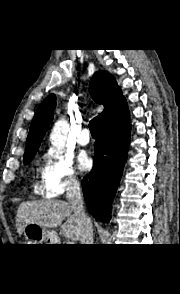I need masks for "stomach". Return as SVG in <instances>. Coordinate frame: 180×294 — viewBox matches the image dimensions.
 <instances>
[{
  "instance_id": "0dacf381",
  "label": "stomach",
  "mask_w": 180,
  "mask_h": 294,
  "mask_svg": "<svg viewBox=\"0 0 180 294\" xmlns=\"http://www.w3.org/2000/svg\"><path fill=\"white\" fill-rule=\"evenodd\" d=\"M23 234L29 244H43L51 240L50 244H53V239L56 238L54 231L47 230L45 227L40 226L36 223H29L25 225Z\"/></svg>"
}]
</instances>
